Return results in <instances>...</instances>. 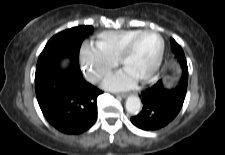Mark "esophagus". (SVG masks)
I'll return each mask as SVG.
<instances>
[{
    "label": "esophagus",
    "mask_w": 225,
    "mask_h": 155,
    "mask_svg": "<svg viewBox=\"0 0 225 155\" xmlns=\"http://www.w3.org/2000/svg\"><path fill=\"white\" fill-rule=\"evenodd\" d=\"M118 97H122V98H126L128 96V94L126 93H120V94H116Z\"/></svg>",
    "instance_id": "esophagus-1"
}]
</instances>
